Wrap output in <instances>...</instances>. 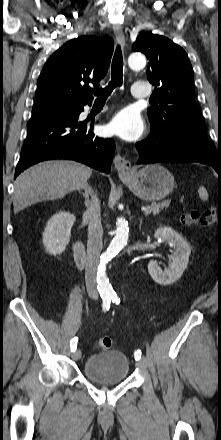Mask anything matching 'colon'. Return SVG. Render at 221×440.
Wrapping results in <instances>:
<instances>
[{"mask_svg": "<svg viewBox=\"0 0 221 440\" xmlns=\"http://www.w3.org/2000/svg\"><path fill=\"white\" fill-rule=\"evenodd\" d=\"M216 215L213 209H207L202 212L189 211L180 216V223L184 226H204L210 227L215 223ZM112 340L109 337H102L95 341V348L100 351L111 347Z\"/></svg>", "mask_w": 221, "mask_h": 440, "instance_id": "5ec220e1", "label": "colon"}]
</instances>
